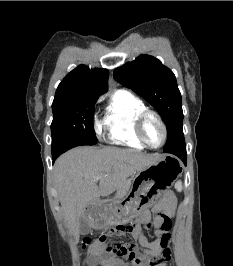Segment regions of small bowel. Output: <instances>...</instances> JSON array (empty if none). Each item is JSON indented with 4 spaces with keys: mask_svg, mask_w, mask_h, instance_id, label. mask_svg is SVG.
I'll return each instance as SVG.
<instances>
[{
    "mask_svg": "<svg viewBox=\"0 0 233 266\" xmlns=\"http://www.w3.org/2000/svg\"><path fill=\"white\" fill-rule=\"evenodd\" d=\"M154 212L164 213L170 220L175 211V200L172 195H168L165 199L155 204ZM140 220L143 222L149 221L147 212H142ZM155 239L148 241L143 234L140 227H136L132 232L137 245L135 250L149 257H156L159 259L153 266H167L166 261L170 258V229H163L159 220H153ZM106 247L104 243L95 242L90 246L87 263L90 266H150L149 263L129 264L120 257L107 256Z\"/></svg>",
    "mask_w": 233,
    "mask_h": 266,
    "instance_id": "c3829d8e",
    "label": "small bowel"
}]
</instances>
